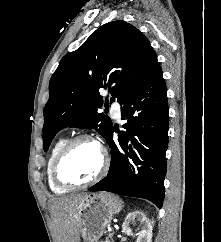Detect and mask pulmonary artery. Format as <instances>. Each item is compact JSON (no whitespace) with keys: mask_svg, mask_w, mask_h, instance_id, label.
<instances>
[{"mask_svg":"<svg viewBox=\"0 0 221 242\" xmlns=\"http://www.w3.org/2000/svg\"><path fill=\"white\" fill-rule=\"evenodd\" d=\"M111 113L112 116L116 119H120L121 117V107L118 103H114L111 106Z\"/></svg>","mask_w":221,"mask_h":242,"instance_id":"1","label":"pulmonary artery"}]
</instances>
